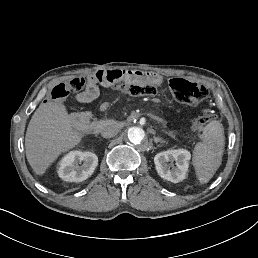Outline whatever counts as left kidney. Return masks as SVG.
I'll return each mask as SVG.
<instances>
[{"label": "left kidney", "mask_w": 258, "mask_h": 258, "mask_svg": "<svg viewBox=\"0 0 258 258\" xmlns=\"http://www.w3.org/2000/svg\"><path fill=\"white\" fill-rule=\"evenodd\" d=\"M170 159L177 161L175 170H171L166 165ZM190 160V151L183 148L159 152L154 157L155 168L160 177L173 183L183 182L186 179Z\"/></svg>", "instance_id": "obj_1"}]
</instances>
